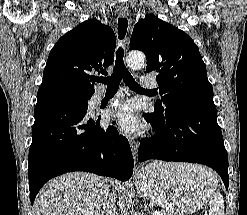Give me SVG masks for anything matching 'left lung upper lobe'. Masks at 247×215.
I'll list each match as a JSON object with an SVG mask.
<instances>
[{
    "label": "left lung upper lobe",
    "mask_w": 247,
    "mask_h": 215,
    "mask_svg": "<svg viewBox=\"0 0 247 215\" xmlns=\"http://www.w3.org/2000/svg\"><path fill=\"white\" fill-rule=\"evenodd\" d=\"M130 48L145 53V73H157L161 100L155 109L166 114L191 108L216 111L206 66L185 32L149 14L134 26Z\"/></svg>",
    "instance_id": "5c2ea615"
}]
</instances>
